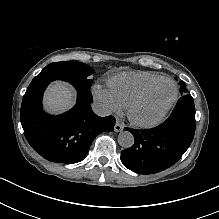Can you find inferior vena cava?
I'll use <instances>...</instances> for the list:
<instances>
[{
    "instance_id": "obj_1",
    "label": "inferior vena cava",
    "mask_w": 219,
    "mask_h": 219,
    "mask_svg": "<svg viewBox=\"0 0 219 219\" xmlns=\"http://www.w3.org/2000/svg\"><path fill=\"white\" fill-rule=\"evenodd\" d=\"M91 108H92V111L100 117H105L111 114L110 108L108 107L106 103H103V102L94 101L91 104Z\"/></svg>"
}]
</instances>
